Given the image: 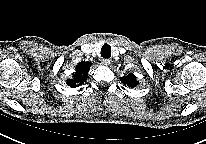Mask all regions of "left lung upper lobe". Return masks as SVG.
Listing matches in <instances>:
<instances>
[{"label": "left lung upper lobe", "instance_id": "left-lung-upper-lobe-1", "mask_svg": "<svg viewBox=\"0 0 206 144\" xmlns=\"http://www.w3.org/2000/svg\"><path fill=\"white\" fill-rule=\"evenodd\" d=\"M120 80L125 86L127 85L131 88L136 87L139 84L136 80V76L132 73L120 78Z\"/></svg>", "mask_w": 206, "mask_h": 144}]
</instances>
